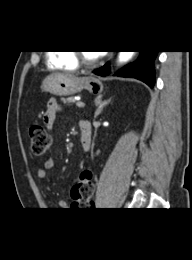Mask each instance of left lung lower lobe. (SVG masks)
<instances>
[{
  "instance_id": "left-lung-lower-lobe-1",
  "label": "left lung lower lobe",
  "mask_w": 192,
  "mask_h": 260,
  "mask_svg": "<svg viewBox=\"0 0 192 260\" xmlns=\"http://www.w3.org/2000/svg\"><path fill=\"white\" fill-rule=\"evenodd\" d=\"M158 51H141L139 58L132 64H129L115 73L120 77H133L145 82L153 88L155 82V70L153 61ZM110 72L109 63H106L99 69L94 70V73L100 76H106Z\"/></svg>"
}]
</instances>
